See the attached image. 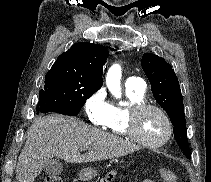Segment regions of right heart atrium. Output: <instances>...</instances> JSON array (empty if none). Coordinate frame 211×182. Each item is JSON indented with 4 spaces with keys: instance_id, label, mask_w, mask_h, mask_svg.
<instances>
[{
    "instance_id": "right-heart-atrium-1",
    "label": "right heart atrium",
    "mask_w": 211,
    "mask_h": 182,
    "mask_svg": "<svg viewBox=\"0 0 211 182\" xmlns=\"http://www.w3.org/2000/svg\"><path fill=\"white\" fill-rule=\"evenodd\" d=\"M111 106L105 90L101 88L86 99L84 110L90 123L103 126L110 115Z\"/></svg>"
}]
</instances>
